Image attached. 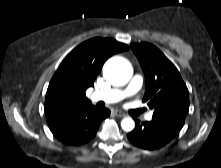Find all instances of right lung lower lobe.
<instances>
[{
    "label": "right lung lower lobe",
    "instance_id": "right-lung-lower-lobe-1",
    "mask_svg": "<svg viewBox=\"0 0 221 168\" xmlns=\"http://www.w3.org/2000/svg\"><path fill=\"white\" fill-rule=\"evenodd\" d=\"M110 115L108 109H98L92 104L46 114L49 128L53 135L67 145H80L90 141L102 120Z\"/></svg>",
    "mask_w": 221,
    "mask_h": 168
}]
</instances>
